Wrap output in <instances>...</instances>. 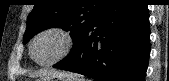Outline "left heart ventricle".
I'll list each match as a JSON object with an SVG mask.
<instances>
[{"label": "left heart ventricle", "instance_id": "b2bd125f", "mask_svg": "<svg viewBox=\"0 0 169 81\" xmlns=\"http://www.w3.org/2000/svg\"><path fill=\"white\" fill-rule=\"evenodd\" d=\"M65 47L64 39L54 33H48L39 37L33 48L34 58L40 63L55 60Z\"/></svg>", "mask_w": 169, "mask_h": 81}]
</instances>
